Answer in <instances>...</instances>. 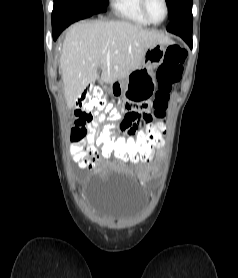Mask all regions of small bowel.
Segmentation results:
<instances>
[{"label": "small bowel", "mask_w": 238, "mask_h": 278, "mask_svg": "<svg viewBox=\"0 0 238 278\" xmlns=\"http://www.w3.org/2000/svg\"><path fill=\"white\" fill-rule=\"evenodd\" d=\"M146 124H156L153 122L149 105L144 102L131 104L126 111L123 122L118 128V134L120 137H135V133L138 130H163L146 129ZM103 125L105 124H101L99 121H93L87 127V135L84 138L73 139V141L77 142L73 154L79 168L92 169L97 162L103 160L100 159L98 146H96V141H100L98 133Z\"/></svg>", "instance_id": "small-bowel-1"}]
</instances>
